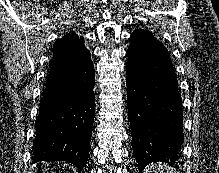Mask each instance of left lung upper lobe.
I'll use <instances>...</instances> for the list:
<instances>
[{
    "instance_id": "5c2ea615",
    "label": "left lung upper lobe",
    "mask_w": 219,
    "mask_h": 173,
    "mask_svg": "<svg viewBox=\"0 0 219 173\" xmlns=\"http://www.w3.org/2000/svg\"><path fill=\"white\" fill-rule=\"evenodd\" d=\"M136 31H143V29H137Z\"/></svg>"
}]
</instances>
